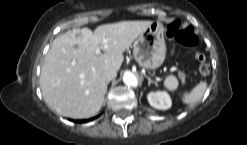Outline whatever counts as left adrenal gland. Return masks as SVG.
I'll return each instance as SVG.
<instances>
[{"mask_svg": "<svg viewBox=\"0 0 247 145\" xmlns=\"http://www.w3.org/2000/svg\"><path fill=\"white\" fill-rule=\"evenodd\" d=\"M148 79V85L150 86L152 83L157 86V82L153 81L149 76H145Z\"/></svg>", "mask_w": 247, "mask_h": 145, "instance_id": "obj_1", "label": "left adrenal gland"}]
</instances>
